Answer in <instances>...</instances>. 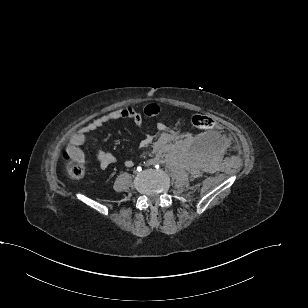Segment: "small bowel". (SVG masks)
I'll use <instances>...</instances> for the list:
<instances>
[{
  "label": "small bowel",
  "mask_w": 308,
  "mask_h": 308,
  "mask_svg": "<svg viewBox=\"0 0 308 308\" xmlns=\"http://www.w3.org/2000/svg\"><path fill=\"white\" fill-rule=\"evenodd\" d=\"M161 108L157 104H148L144 107L143 112H140L131 107H125L118 110L111 111L107 114L101 115L85 126L81 127L77 132H75L67 146V154L75 159H80L85 162L84 153L81 150V146L85 143L87 135L91 132L98 130L100 127L106 123L119 119H129L134 122V124L142 129L144 117H155L159 115ZM157 129L160 135L157 139L150 134L145 133L143 139L140 141V148H146L154 144L156 148L163 149L170 142L174 141L176 138L175 132L168 129V127L163 123L159 122L157 124ZM97 160L100 163L102 169H106L108 166L116 161V157L105 150H98L96 152ZM127 167H132L134 165L133 161L127 160L125 162Z\"/></svg>",
  "instance_id": "1"
}]
</instances>
